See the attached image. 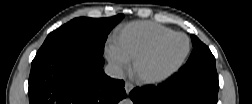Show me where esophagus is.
<instances>
[{
  "instance_id": "1",
  "label": "esophagus",
  "mask_w": 252,
  "mask_h": 104,
  "mask_svg": "<svg viewBox=\"0 0 252 104\" xmlns=\"http://www.w3.org/2000/svg\"><path fill=\"white\" fill-rule=\"evenodd\" d=\"M133 88H134L133 83H131V82H126V83H125V90H126L127 93H130V91H131Z\"/></svg>"
}]
</instances>
